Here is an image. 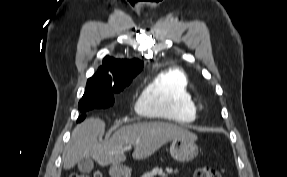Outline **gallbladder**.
Returning a JSON list of instances; mask_svg holds the SVG:
<instances>
[{
  "instance_id": "1",
  "label": "gallbladder",
  "mask_w": 287,
  "mask_h": 177,
  "mask_svg": "<svg viewBox=\"0 0 287 177\" xmlns=\"http://www.w3.org/2000/svg\"><path fill=\"white\" fill-rule=\"evenodd\" d=\"M77 166L81 173H90L94 168V162L91 157H84L78 161Z\"/></svg>"
}]
</instances>
